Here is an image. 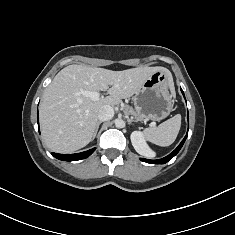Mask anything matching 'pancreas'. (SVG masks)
<instances>
[{
    "instance_id": "obj_1",
    "label": "pancreas",
    "mask_w": 235,
    "mask_h": 235,
    "mask_svg": "<svg viewBox=\"0 0 235 235\" xmlns=\"http://www.w3.org/2000/svg\"><path fill=\"white\" fill-rule=\"evenodd\" d=\"M126 112L133 115L135 120H142L141 115H139L137 112L133 111L132 109H126Z\"/></svg>"
}]
</instances>
